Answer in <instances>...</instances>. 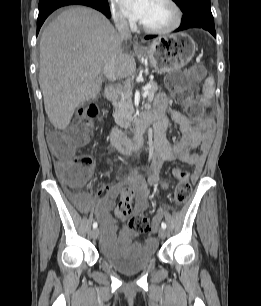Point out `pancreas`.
<instances>
[{
	"mask_svg": "<svg viewBox=\"0 0 261 306\" xmlns=\"http://www.w3.org/2000/svg\"><path fill=\"white\" fill-rule=\"evenodd\" d=\"M148 85H150L149 96H154L159 89L157 83L150 81ZM113 107L115 110L113 113L115 122L120 127L130 126L134 108L132 103V93L129 89L120 92L118 99L113 102Z\"/></svg>",
	"mask_w": 261,
	"mask_h": 306,
	"instance_id": "1",
	"label": "pancreas"
}]
</instances>
